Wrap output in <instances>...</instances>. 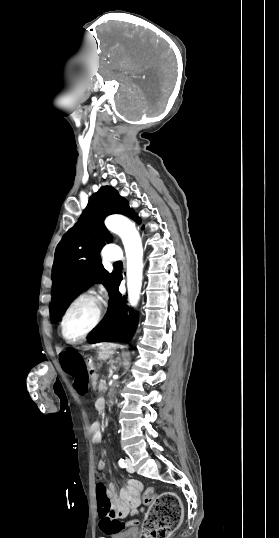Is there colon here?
<instances>
[{"label": "colon", "instance_id": "obj_1", "mask_svg": "<svg viewBox=\"0 0 279 538\" xmlns=\"http://www.w3.org/2000/svg\"><path fill=\"white\" fill-rule=\"evenodd\" d=\"M145 499L151 503L143 524L142 538H168L179 526L182 519V503L173 492H165L155 496L152 489L146 491ZM96 500L101 517L113 514L108 489L101 481L96 484Z\"/></svg>", "mask_w": 279, "mask_h": 538}]
</instances>
